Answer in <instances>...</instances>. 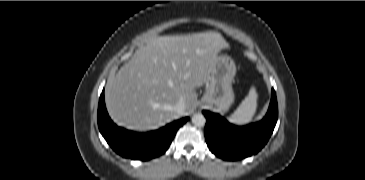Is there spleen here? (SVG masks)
Listing matches in <instances>:
<instances>
[{
    "label": "spleen",
    "instance_id": "3e777b00",
    "mask_svg": "<svg viewBox=\"0 0 365 180\" xmlns=\"http://www.w3.org/2000/svg\"><path fill=\"white\" fill-rule=\"evenodd\" d=\"M257 99L258 94L256 89L255 87H252L249 91V94L229 117V121L237 125H244L251 122L257 110Z\"/></svg>",
    "mask_w": 365,
    "mask_h": 180
}]
</instances>
